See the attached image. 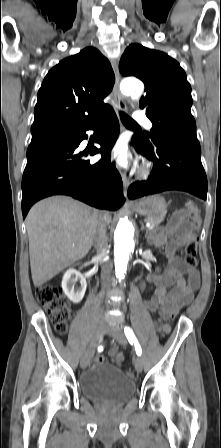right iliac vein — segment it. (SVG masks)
<instances>
[{"instance_id": "obj_1", "label": "right iliac vein", "mask_w": 221, "mask_h": 448, "mask_svg": "<svg viewBox=\"0 0 221 448\" xmlns=\"http://www.w3.org/2000/svg\"><path fill=\"white\" fill-rule=\"evenodd\" d=\"M104 332H105V325L101 322L97 323L95 326V330H94L89 348L83 354L82 359H81V367L83 369H86L90 365L94 349L97 346V343H98L99 339L102 337V335L104 334Z\"/></svg>"}]
</instances>
